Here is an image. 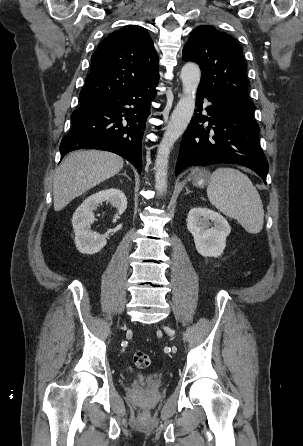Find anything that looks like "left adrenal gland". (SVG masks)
I'll return each instance as SVG.
<instances>
[{
    "mask_svg": "<svg viewBox=\"0 0 303 446\" xmlns=\"http://www.w3.org/2000/svg\"><path fill=\"white\" fill-rule=\"evenodd\" d=\"M190 192H191V191H190L188 188H186V193H185V194L187 195V194H189Z\"/></svg>",
    "mask_w": 303,
    "mask_h": 446,
    "instance_id": "a2214340",
    "label": "left adrenal gland"
}]
</instances>
